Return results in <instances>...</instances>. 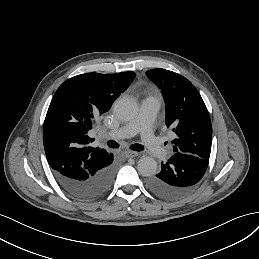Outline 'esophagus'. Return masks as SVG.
Here are the masks:
<instances>
[{
    "instance_id": "obj_1",
    "label": "esophagus",
    "mask_w": 259,
    "mask_h": 259,
    "mask_svg": "<svg viewBox=\"0 0 259 259\" xmlns=\"http://www.w3.org/2000/svg\"><path fill=\"white\" fill-rule=\"evenodd\" d=\"M139 155L138 152H134V151H125L123 152V156L126 158H133V157H137Z\"/></svg>"
}]
</instances>
